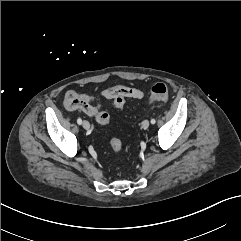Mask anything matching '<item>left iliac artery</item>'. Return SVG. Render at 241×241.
<instances>
[{
	"label": "left iliac artery",
	"mask_w": 241,
	"mask_h": 241,
	"mask_svg": "<svg viewBox=\"0 0 241 241\" xmlns=\"http://www.w3.org/2000/svg\"><path fill=\"white\" fill-rule=\"evenodd\" d=\"M156 120L155 119H151V123L155 124Z\"/></svg>",
	"instance_id": "left-iliac-artery-1"
}]
</instances>
